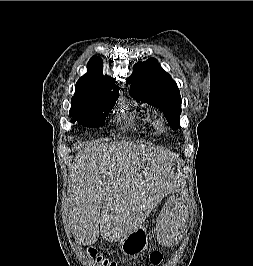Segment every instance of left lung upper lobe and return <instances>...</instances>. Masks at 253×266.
Segmentation results:
<instances>
[{
    "mask_svg": "<svg viewBox=\"0 0 253 266\" xmlns=\"http://www.w3.org/2000/svg\"><path fill=\"white\" fill-rule=\"evenodd\" d=\"M130 95L136 100L160 109L170 127L180 128L181 96L177 84L155 58L138 62L126 79Z\"/></svg>",
    "mask_w": 253,
    "mask_h": 266,
    "instance_id": "obj_1",
    "label": "left lung upper lobe"
}]
</instances>
